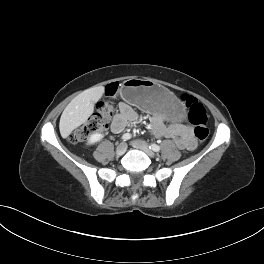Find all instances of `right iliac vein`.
I'll return each mask as SVG.
<instances>
[{"label": "right iliac vein", "mask_w": 264, "mask_h": 264, "mask_svg": "<svg viewBox=\"0 0 264 264\" xmlns=\"http://www.w3.org/2000/svg\"><path fill=\"white\" fill-rule=\"evenodd\" d=\"M126 150H127V144L125 142H122L116 148V155L121 156L126 152Z\"/></svg>", "instance_id": "right-iliac-vein-1"}]
</instances>
